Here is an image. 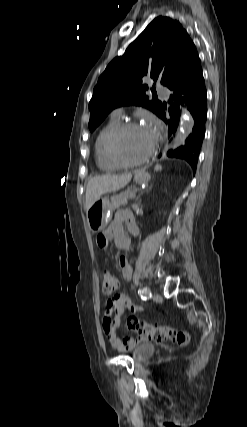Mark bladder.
<instances>
[{
  "mask_svg": "<svg viewBox=\"0 0 247 427\" xmlns=\"http://www.w3.org/2000/svg\"><path fill=\"white\" fill-rule=\"evenodd\" d=\"M155 353V346L150 343H144L136 346L132 350V356L136 361H144Z\"/></svg>",
  "mask_w": 247,
  "mask_h": 427,
  "instance_id": "1",
  "label": "bladder"
}]
</instances>
